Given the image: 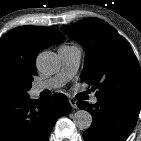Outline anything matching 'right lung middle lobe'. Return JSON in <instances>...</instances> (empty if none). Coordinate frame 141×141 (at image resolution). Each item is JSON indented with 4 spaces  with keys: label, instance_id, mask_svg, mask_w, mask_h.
<instances>
[{
    "label": "right lung middle lobe",
    "instance_id": "dd1d6c3e",
    "mask_svg": "<svg viewBox=\"0 0 141 141\" xmlns=\"http://www.w3.org/2000/svg\"><path fill=\"white\" fill-rule=\"evenodd\" d=\"M34 75L36 73L24 69L0 70V99L28 96Z\"/></svg>",
    "mask_w": 141,
    "mask_h": 141
}]
</instances>
